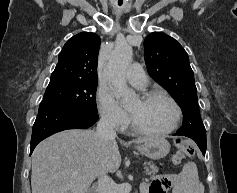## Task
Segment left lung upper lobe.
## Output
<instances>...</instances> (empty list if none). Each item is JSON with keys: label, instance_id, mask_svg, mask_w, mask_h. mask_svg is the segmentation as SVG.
Segmentation results:
<instances>
[{"label": "left lung upper lobe", "instance_id": "obj_1", "mask_svg": "<svg viewBox=\"0 0 237 193\" xmlns=\"http://www.w3.org/2000/svg\"><path fill=\"white\" fill-rule=\"evenodd\" d=\"M144 57L150 76L164 87L183 111V126L178 135L206 143V130L201 120L194 74L187 52L172 37L153 32L144 40Z\"/></svg>", "mask_w": 237, "mask_h": 193}]
</instances>
